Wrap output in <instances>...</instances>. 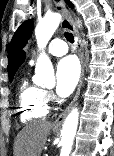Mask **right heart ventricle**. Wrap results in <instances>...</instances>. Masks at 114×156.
Here are the masks:
<instances>
[{
    "instance_id": "1",
    "label": "right heart ventricle",
    "mask_w": 114,
    "mask_h": 156,
    "mask_svg": "<svg viewBox=\"0 0 114 156\" xmlns=\"http://www.w3.org/2000/svg\"><path fill=\"white\" fill-rule=\"evenodd\" d=\"M18 109L23 123L44 118L48 113L45 90L31 82L28 76H23L19 83Z\"/></svg>"
}]
</instances>
